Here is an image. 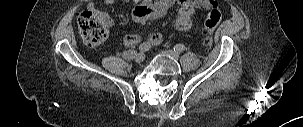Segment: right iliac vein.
<instances>
[{"instance_id":"obj_1","label":"right iliac vein","mask_w":303,"mask_h":127,"mask_svg":"<svg viewBox=\"0 0 303 127\" xmlns=\"http://www.w3.org/2000/svg\"><path fill=\"white\" fill-rule=\"evenodd\" d=\"M145 60V55L144 53H138L135 57V61L137 63H142Z\"/></svg>"}]
</instances>
